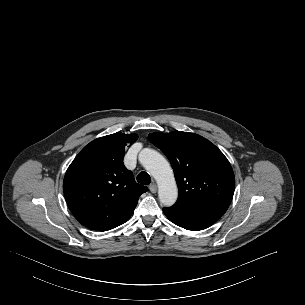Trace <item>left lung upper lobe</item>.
I'll list each match as a JSON object with an SVG mask.
<instances>
[{
    "label": "left lung upper lobe",
    "instance_id": "obj_1",
    "mask_svg": "<svg viewBox=\"0 0 305 305\" xmlns=\"http://www.w3.org/2000/svg\"><path fill=\"white\" fill-rule=\"evenodd\" d=\"M151 143L170 160L178 186L168 209L184 214H224L234 194L235 177L224 154L200 135L174 131L151 133Z\"/></svg>",
    "mask_w": 305,
    "mask_h": 305
}]
</instances>
